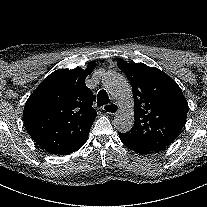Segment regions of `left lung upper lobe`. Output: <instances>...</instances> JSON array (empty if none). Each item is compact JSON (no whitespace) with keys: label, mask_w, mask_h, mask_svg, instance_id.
Masks as SVG:
<instances>
[{"label":"left lung upper lobe","mask_w":207,"mask_h":207,"mask_svg":"<svg viewBox=\"0 0 207 207\" xmlns=\"http://www.w3.org/2000/svg\"><path fill=\"white\" fill-rule=\"evenodd\" d=\"M128 77L134 97V126L120 133L130 149L159 152L179 135L186 122L188 103L178 86L167 74L143 63L117 61Z\"/></svg>","instance_id":"left-lung-upper-lobe-1"}]
</instances>
